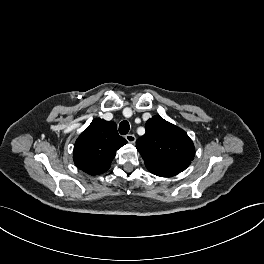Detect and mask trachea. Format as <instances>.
Segmentation results:
<instances>
[{"label": "trachea", "mask_w": 264, "mask_h": 264, "mask_svg": "<svg viewBox=\"0 0 264 264\" xmlns=\"http://www.w3.org/2000/svg\"><path fill=\"white\" fill-rule=\"evenodd\" d=\"M129 129H130V125H129L128 121L124 120L120 123L119 133L121 135H126L129 132Z\"/></svg>", "instance_id": "trachea-1"}]
</instances>
